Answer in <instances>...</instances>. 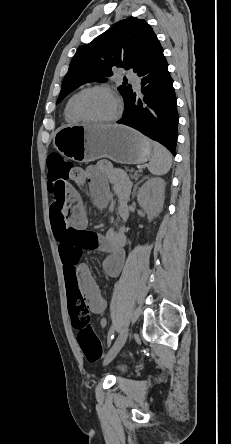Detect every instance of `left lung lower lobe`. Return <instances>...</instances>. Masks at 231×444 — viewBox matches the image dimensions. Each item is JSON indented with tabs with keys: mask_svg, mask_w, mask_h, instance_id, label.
I'll return each instance as SVG.
<instances>
[{
	"mask_svg": "<svg viewBox=\"0 0 231 444\" xmlns=\"http://www.w3.org/2000/svg\"><path fill=\"white\" fill-rule=\"evenodd\" d=\"M141 81L139 97L133 90L125 99L119 124L128 125L165 145L174 155L178 138V112L173 80L160 48L137 72Z\"/></svg>",
	"mask_w": 231,
	"mask_h": 444,
	"instance_id": "obj_1",
	"label": "left lung lower lobe"
}]
</instances>
